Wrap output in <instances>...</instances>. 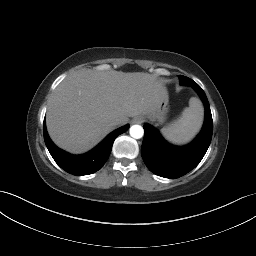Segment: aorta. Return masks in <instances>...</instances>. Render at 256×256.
Masks as SVG:
<instances>
[{
    "mask_svg": "<svg viewBox=\"0 0 256 256\" xmlns=\"http://www.w3.org/2000/svg\"><path fill=\"white\" fill-rule=\"evenodd\" d=\"M130 136L135 139H140L144 135V129L140 125H133L130 127Z\"/></svg>",
    "mask_w": 256,
    "mask_h": 256,
    "instance_id": "1",
    "label": "aorta"
}]
</instances>
